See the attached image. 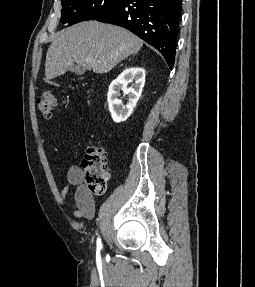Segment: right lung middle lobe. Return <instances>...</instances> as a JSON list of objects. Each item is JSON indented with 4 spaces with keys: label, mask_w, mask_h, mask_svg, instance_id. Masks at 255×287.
Returning <instances> with one entry per match:
<instances>
[{
    "label": "right lung middle lobe",
    "mask_w": 255,
    "mask_h": 287,
    "mask_svg": "<svg viewBox=\"0 0 255 287\" xmlns=\"http://www.w3.org/2000/svg\"><path fill=\"white\" fill-rule=\"evenodd\" d=\"M61 22L72 25L81 21L95 20L106 10L124 0H61Z\"/></svg>",
    "instance_id": "right-lung-middle-lobe-1"
}]
</instances>
